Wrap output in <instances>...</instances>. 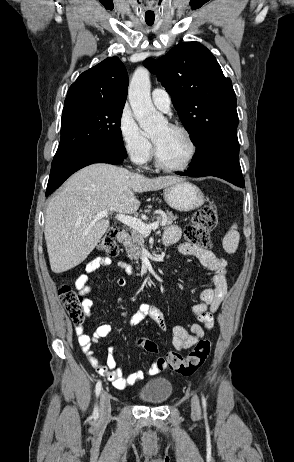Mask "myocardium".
<instances>
[{
	"instance_id": "f54148a6",
	"label": "myocardium",
	"mask_w": 294,
	"mask_h": 462,
	"mask_svg": "<svg viewBox=\"0 0 294 462\" xmlns=\"http://www.w3.org/2000/svg\"><path fill=\"white\" fill-rule=\"evenodd\" d=\"M167 125L169 128L178 130L186 136L189 142V145H190V152L185 162H183L181 165H175V166L167 165L161 160L156 142L152 139L153 157H154L155 166L159 168L160 170H163L166 172L184 171L190 167V165L192 164V162L194 161L197 155L198 147H197L196 140L192 132L186 126L179 124V123H172V122L167 123Z\"/></svg>"
}]
</instances>
